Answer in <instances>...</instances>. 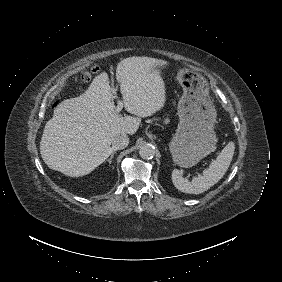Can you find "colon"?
Listing matches in <instances>:
<instances>
[{"label":"colon","mask_w":282,"mask_h":282,"mask_svg":"<svg viewBox=\"0 0 282 282\" xmlns=\"http://www.w3.org/2000/svg\"><path fill=\"white\" fill-rule=\"evenodd\" d=\"M99 72V67L97 65L91 67L90 70L84 72V74L82 75V79H89L92 75H95L96 73Z\"/></svg>","instance_id":"obj_1"}]
</instances>
